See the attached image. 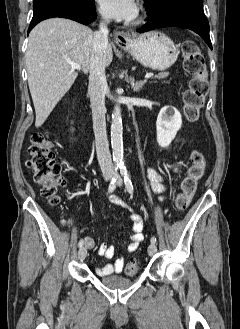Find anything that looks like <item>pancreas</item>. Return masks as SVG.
<instances>
[{"instance_id":"pancreas-1","label":"pancreas","mask_w":240,"mask_h":329,"mask_svg":"<svg viewBox=\"0 0 240 329\" xmlns=\"http://www.w3.org/2000/svg\"><path fill=\"white\" fill-rule=\"evenodd\" d=\"M168 76V73H160L158 75H156L154 78H157V79H164Z\"/></svg>"}]
</instances>
